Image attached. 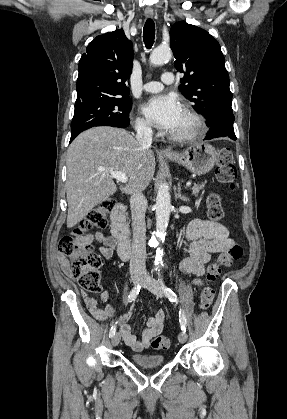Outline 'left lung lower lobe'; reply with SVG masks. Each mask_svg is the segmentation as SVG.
I'll return each mask as SVG.
<instances>
[{
	"label": "left lung lower lobe",
	"mask_w": 287,
	"mask_h": 419,
	"mask_svg": "<svg viewBox=\"0 0 287 419\" xmlns=\"http://www.w3.org/2000/svg\"><path fill=\"white\" fill-rule=\"evenodd\" d=\"M234 115L231 107H224L219 110L212 122L208 123L209 131L205 137L206 140L229 137L236 140V136L233 129Z\"/></svg>",
	"instance_id": "left-lung-lower-lobe-1"
}]
</instances>
